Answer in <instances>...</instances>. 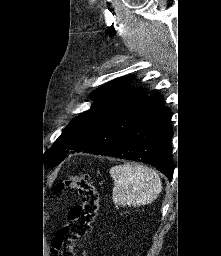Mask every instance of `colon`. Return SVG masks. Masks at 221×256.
<instances>
[{
  "mask_svg": "<svg viewBox=\"0 0 221 256\" xmlns=\"http://www.w3.org/2000/svg\"><path fill=\"white\" fill-rule=\"evenodd\" d=\"M66 189L77 191L81 202L71 209L68 223L56 232L52 241L53 256H75L74 246L90 233L99 207L98 192L88 175L70 176L58 183L54 191Z\"/></svg>",
  "mask_w": 221,
  "mask_h": 256,
  "instance_id": "5ec220e1",
  "label": "colon"
}]
</instances>
